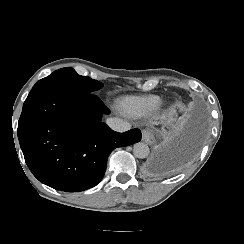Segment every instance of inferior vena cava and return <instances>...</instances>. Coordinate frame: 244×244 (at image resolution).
I'll return each mask as SVG.
<instances>
[{
  "mask_svg": "<svg viewBox=\"0 0 244 244\" xmlns=\"http://www.w3.org/2000/svg\"><path fill=\"white\" fill-rule=\"evenodd\" d=\"M107 125L114 131L119 133H124L126 131L130 130V125L126 122H123L120 119L117 118H109L106 121Z\"/></svg>",
  "mask_w": 244,
  "mask_h": 244,
  "instance_id": "602c4592",
  "label": "inferior vena cava"
}]
</instances>
